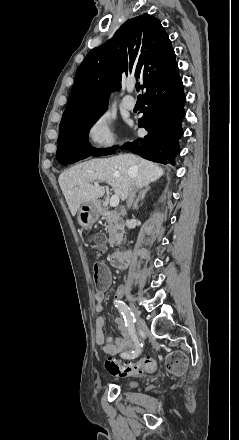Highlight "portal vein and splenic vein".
Listing matches in <instances>:
<instances>
[{"label": "portal vein and splenic vein", "instance_id": "obj_1", "mask_svg": "<svg viewBox=\"0 0 239 440\" xmlns=\"http://www.w3.org/2000/svg\"><path fill=\"white\" fill-rule=\"evenodd\" d=\"M94 186H96V188H99V182H94ZM119 202H120L119 196H112L110 200V206H112V208H116Z\"/></svg>", "mask_w": 239, "mask_h": 440}]
</instances>
